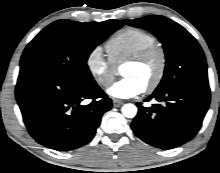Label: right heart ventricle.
Wrapping results in <instances>:
<instances>
[{
    "mask_svg": "<svg viewBox=\"0 0 220 173\" xmlns=\"http://www.w3.org/2000/svg\"><path fill=\"white\" fill-rule=\"evenodd\" d=\"M157 44L156 38L149 32L126 27L115 33L106 43L110 61L118 66L128 58Z\"/></svg>",
    "mask_w": 220,
    "mask_h": 173,
    "instance_id": "1",
    "label": "right heart ventricle"
}]
</instances>
